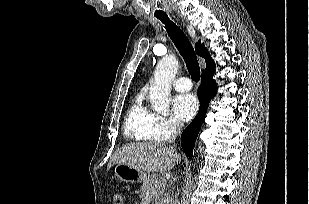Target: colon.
<instances>
[{"instance_id":"5ec220e1","label":"colon","mask_w":309,"mask_h":204,"mask_svg":"<svg viewBox=\"0 0 309 204\" xmlns=\"http://www.w3.org/2000/svg\"><path fill=\"white\" fill-rule=\"evenodd\" d=\"M114 204H123L124 202V195L121 192H115L113 195Z\"/></svg>"}]
</instances>
